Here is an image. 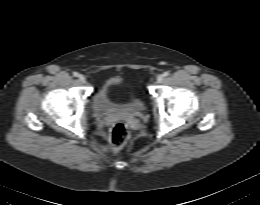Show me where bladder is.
Returning a JSON list of instances; mask_svg holds the SVG:
<instances>
[{
  "instance_id": "bladder-1",
  "label": "bladder",
  "mask_w": 260,
  "mask_h": 205,
  "mask_svg": "<svg viewBox=\"0 0 260 205\" xmlns=\"http://www.w3.org/2000/svg\"><path fill=\"white\" fill-rule=\"evenodd\" d=\"M122 83L120 77H112L102 82L96 89L92 109L98 115H112L120 112L138 114L144 109V103L139 97H132L123 102L112 100L110 92Z\"/></svg>"
}]
</instances>
